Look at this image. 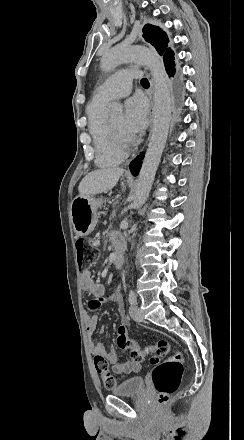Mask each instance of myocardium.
Masks as SVG:
<instances>
[{"mask_svg": "<svg viewBox=\"0 0 244 440\" xmlns=\"http://www.w3.org/2000/svg\"><path fill=\"white\" fill-rule=\"evenodd\" d=\"M106 126H107V128L110 130V131H112L113 132V142L115 143L114 145L117 147L119 144L118 143H125V138H118L117 136H120V137H122L123 136V134H124V130L123 129H121V130H118V131H116V130H114L111 126H110V124L106 121ZM117 135V136H116Z\"/></svg>", "mask_w": 244, "mask_h": 440, "instance_id": "1", "label": "myocardium"}]
</instances>
